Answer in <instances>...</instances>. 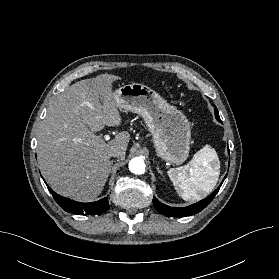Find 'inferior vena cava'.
<instances>
[{"label":"inferior vena cava","instance_id":"inferior-vena-cava-1","mask_svg":"<svg viewBox=\"0 0 279 279\" xmlns=\"http://www.w3.org/2000/svg\"><path fill=\"white\" fill-rule=\"evenodd\" d=\"M122 154V151L119 149H114L109 153L110 157H119Z\"/></svg>","mask_w":279,"mask_h":279}]
</instances>
